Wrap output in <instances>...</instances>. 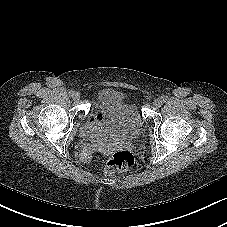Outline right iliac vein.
<instances>
[{
    "label": "right iliac vein",
    "instance_id": "obj_1",
    "mask_svg": "<svg viewBox=\"0 0 227 227\" xmlns=\"http://www.w3.org/2000/svg\"><path fill=\"white\" fill-rule=\"evenodd\" d=\"M72 98H73V100L78 101L80 99V94L76 92V93H74Z\"/></svg>",
    "mask_w": 227,
    "mask_h": 227
}]
</instances>
